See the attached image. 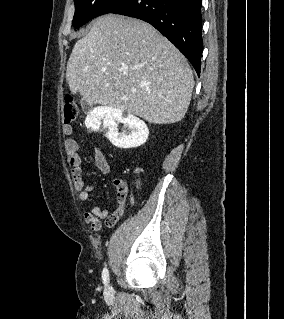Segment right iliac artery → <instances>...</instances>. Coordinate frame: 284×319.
<instances>
[{
    "mask_svg": "<svg viewBox=\"0 0 284 319\" xmlns=\"http://www.w3.org/2000/svg\"><path fill=\"white\" fill-rule=\"evenodd\" d=\"M102 279H103V283H104L105 285H107L108 282H109V272H108V269H107V268H104V269H103Z\"/></svg>",
    "mask_w": 284,
    "mask_h": 319,
    "instance_id": "82829eb1",
    "label": "right iliac artery"
}]
</instances>
